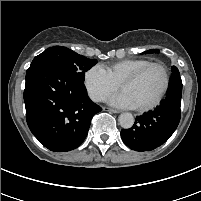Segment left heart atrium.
<instances>
[{
    "label": "left heart atrium",
    "mask_w": 201,
    "mask_h": 201,
    "mask_svg": "<svg viewBox=\"0 0 201 201\" xmlns=\"http://www.w3.org/2000/svg\"><path fill=\"white\" fill-rule=\"evenodd\" d=\"M109 103L119 108H134L135 107L133 102L129 98V96L124 92H121L111 97L109 99Z\"/></svg>",
    "instance_id": "obj_1"
}]
</instances>
